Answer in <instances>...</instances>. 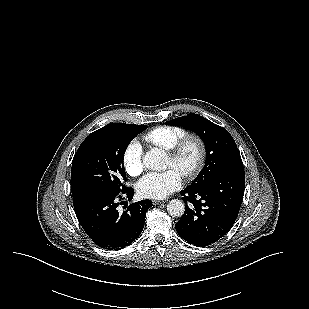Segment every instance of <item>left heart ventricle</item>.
I'll use <instances>...</instances> for the list:
<instances>
[{
	"label": "left heart ventricle",
	"mask_w": 309,
	"mask_h": 309,
	"mask_svg": "<svg viewBox=\"0 0 309 309\" xmlns=\"http://www.w3.org/2000/svg\"><path fill=\"white\" fill-rule=\"evenodd\" d=\"M198 147L195 143L191 142L185 148L179 162H173L169 157L166 160V167L175 169L181 175L184 171L191 169L198 159Z\"/></svg>",
	"instance_id": "obj_1"
}]
</instances>
